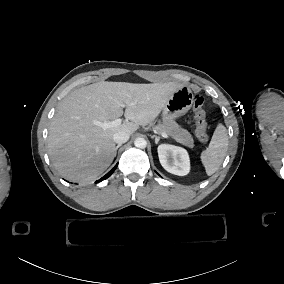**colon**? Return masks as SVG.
<instances>
[{"instance_id": "5ec220e1", "label": "colon", "mask_w": 284, "mask_h": 284, "mask_svg": "<svg viewBox=\"0 0 284 284\" xmlns=\"http://www.w3.org/2000/svg\"><path fill=\"white\" fill-rule=\"evenodd\" d=\"M192 104H193V113L196 124V134L202 142H206L208 140V135L206 132L207 116L203 108L204 106L203 97L200 95H195L192 99Z\"/></svg>"}]
</instances>
